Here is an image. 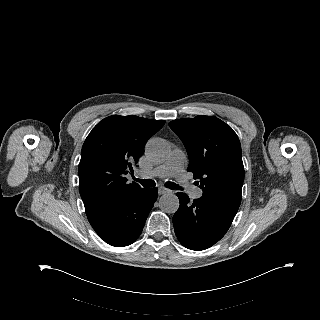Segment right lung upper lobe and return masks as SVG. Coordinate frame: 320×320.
Segmentation results:
<instances>
[{
	"label": "right lung upper lobe",
	"instance_id": "cb5924a9",
	"mask_svg": "<svg viewBox=\"0 0 320 320\" xmlns=\"http://www.w3.org/2000/svg\"><path fill=\"white\" fill-rule=\"evenodd\" d=\"M165 121L112 115L100 121L87 136L79 163V189L90 215L128 199L142 188L125 175L143 153L148 139Z\"/></svg>",
	"mask_w": 320,
	"mask_h": 320
}]
</instances>
